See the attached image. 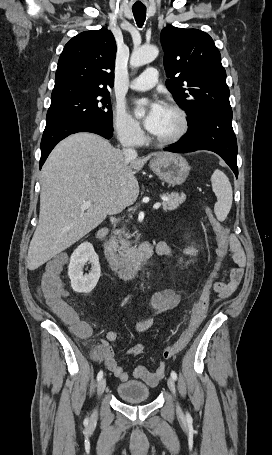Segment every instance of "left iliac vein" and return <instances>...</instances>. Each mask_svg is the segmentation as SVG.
<instances>
[{
	"label": "left iliac vein",
	"instance_id": "4c4485c4",
	"mask_svg": "<svg viewBox=\"0 0 272 455\" xmlns=\"http://www.w3.org/2000/svg\"><path fill=\"white\" fill-rule=\"evenodd\" d=\"M167 384H168V387H169L170 391L175 395V393H176V388H175L174 379L171 378V377L168 378ZM178 408H179V406H178Z\"/></svg>",
	"mask_w": 272,
	"mask_h": 455
}]
</instances>
